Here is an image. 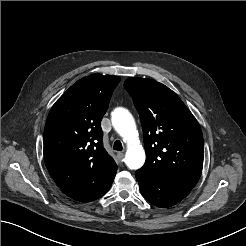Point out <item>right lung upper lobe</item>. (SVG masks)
<instances>
[{"label":"right lung upper lobe","instance_id":"1","mask_svg":"<svg viewBox=\"0 0 246 246\" xmlns=\"http://www.w3.org/2000/svg\"><path fill=\"white\" fill-rule=\"evenodd\" d=\"M121 78L93 74L78 80L53 105L44 130L46 167L64 190L114 180L117 165L103 147L101 120Z\"/></svg>","mask_w":246,"mask_h":246}]
</instances>
